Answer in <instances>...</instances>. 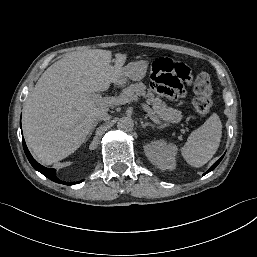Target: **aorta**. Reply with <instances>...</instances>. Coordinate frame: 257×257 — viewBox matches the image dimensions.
Returning <instances> with one entry per match:
<instances>
[{"instance_id":"762f6f07","label":"aorta","mask_w":257,"mask_h":257,"mask_svg":"<svg viewBox=\"0 0 257 257\" xmlns=\"http://www.w3.org/2000/svg\"><path fill=\"white\" fill-rule=\"evenodd\" d=\"M117 127L123 131H131L134 127V122L131 117H122L117 123Z\"/></svg>"}]
</instances>
